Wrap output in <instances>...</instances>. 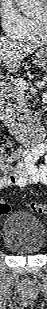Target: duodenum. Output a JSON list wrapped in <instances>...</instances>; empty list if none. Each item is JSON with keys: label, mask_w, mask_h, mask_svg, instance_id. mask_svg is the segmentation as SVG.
Returning <instances> with one entry per match:
<instances>
[{"label": "duodenum", "mask_w": 47, "mask_h": 309, "mask_svg": "<svg viewBox=\"0 0 47 309\" xmlns=\"http://www.w3.org/2000/svg\"><path fill=\"white\" fill-rule=\"evenodd\" d=\"M16 104L6 100L1 109V119L10 133L26 147H35L39 145L44 137V129L41 125L40 117L35 120L34 126H25L19 123L14 116Z\"/></svg>", "instance_id": "1"}]
</instances>
